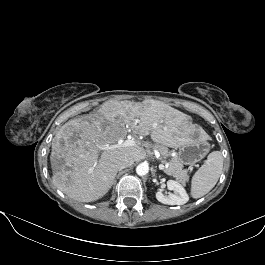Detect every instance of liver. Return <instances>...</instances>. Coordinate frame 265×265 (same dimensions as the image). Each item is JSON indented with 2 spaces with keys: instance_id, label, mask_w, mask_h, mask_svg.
<instances>
[{
  "instance_id": "1",
  "label": "liver",
  "mask_w": 265,
  "mask_h": 265,
  "mask_svg": "<svg viewBox=\"0 0 265 265\" xmlns=\"http://www.w3.org/2000/svg\"><path fill=\"white\" fill-rule=\"evenodd\" d=\"M189 117L158 101L134 104L109 100L95 114L71 119L52 140L50 156L53 183L68 197L80 202L96 201L111 188L118 162L146 157L148 143L103 149L134 134L150 135L161 145L178 148L190 141ZM101 150H104L100 153ZM57 160H61L60 167Z\"/></svg>"
}]
</instances>
